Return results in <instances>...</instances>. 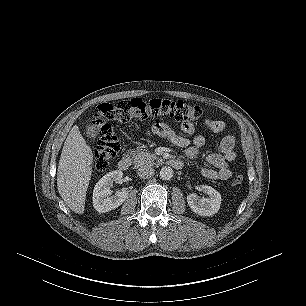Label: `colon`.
<instances>
[{
    "label": "colon",
    "instance_id": "1",
    "mask_svg": "<svg viewBox=\"0 0 306 306\" xmlns=\"http://www.w3.org/2000/svg\"><path fill=\"white\" fill-rule=\"evenodd\" d=\"M161 115H168L180 123L195 124L201 119L202 111L198 106L189 105L182 100L143 101L139 98H133L115 104L102 103L98 105L92 122L98 132L94 152V169L97 172L105 171L112 158L120 150L119 139L112 122L125 124L133 119ZM152 130L155 134L161 131L158 124H155ZM242 182L243 176L237 175L233 180V185L238 186Z\"/></svg>",
    "mask_w": 306,
    "mask_h": 306
}]
</instances>
